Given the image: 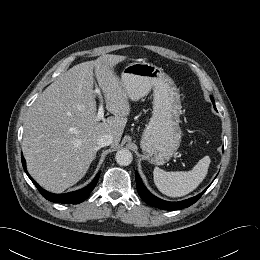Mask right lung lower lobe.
<instances>
[{
    "mask_svg": "<svg viewBox=\"0 0 260 260\" xmlns=\"http://www.w3.org/2000/svg\"><path fill=\"white\" fill-rule=\"evenodd\" d=\"M22 158V165L24 167V170L26 172V174L28 175V177L31 179V181L34 183V185L37 187V189L40 191V193L42 194V196L44 198H46L49 201H53L56 203H65V204H78L83 202L90 194V192L94 189V187L96 186L97 182H98V178L100 175V172L97 174V176L94 178V180L92 181L91 184H89L87 187L74 191V192H70V193H66V194H52L47 192L46 190L42 189L33 179L32 177L28 174L27 170H26V162L25 159L23 157V155L21 156Z\"/></svg>",
    "mask_w": 260,
    "mask_h": 260,
    "instance_id": "98d812e1",
    "label": "right lung lower lobe"
}]
</instances>
